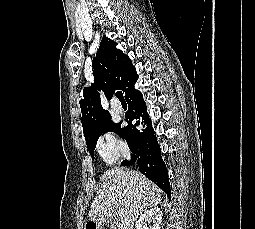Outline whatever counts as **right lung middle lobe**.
I'll return each instance as SVG.
<instances>
[{"label": "right lung middle lobe", "mask_w": 255, "mask_h": 229, "mask_svg": "<svg viewBox=\"0 0 255 229\" xmlns=\"http://www.w3.org/2000/svg\"><path fill=\"white\" fill-rule=\"evenodd\" d=\"M108 131H112L115 132L119 135L124 136V128L120 127V124H115L111 118L105 120L95 131V133L93 134V136L90 139L86 140V144H87V148L89 150V153L92 156V159H94V149L96 147V142L98 140V138L101 136V134L106 133ZM125 137V136H124ZM128 143V142H127Z\"/></svg>", "instance_id": "dd1d6c3e"}]
</instances>
